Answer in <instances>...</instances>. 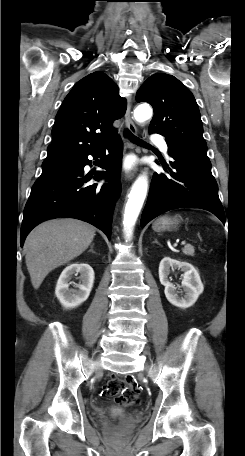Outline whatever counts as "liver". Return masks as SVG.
<instances>
[{"mask_svg": "<svg viewBox=\"0 0 245 456\" xmlns=\"http://www.w3.org/2000/svg\"><path fill=\"white\" fill-rule=\"evenodd\" d=\"M94 236L95 228L77 219H54L38 225L25 241L26 266L34 289L53 269L82 254Z\"/></svg>", "mask_w": 245, "mask_h": 456, "instance_id": "1", "label": "liver"}]
</instances>
